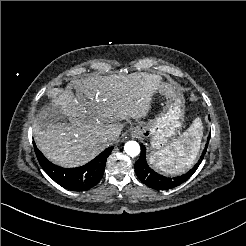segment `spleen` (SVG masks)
<instances>
[{"instance_id": "1", "label": "spleen", "mask_w": 246, "mask_h": 246, "mask_svg": "<svg viewBox=\"0 0 246 246\" xmlns=\"http://www.w3.org/2000/svg\"><path fill=\"white\" fill-rule=\"evenodd\" d=\"M202 136V122L201 119L196 118L191 126L170 145L155 152L150 157V163L166 175H179L186 172L195 163Z\"/></svg>"}]
</instances>
